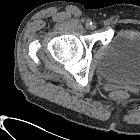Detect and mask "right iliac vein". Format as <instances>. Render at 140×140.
<instances>
[{
	"mask_svg": "<svg viewBox=\"0 0 140 140\" xmlns=\"http://www.w3.org/2000/svg\"><path fill=\"white\" fill-rule=\"evenodd\" d=\"M88 27H89V29L94 30L96 28V24L95 23H92Z\"/></svg>",
	"mask_w": 140,
	"mask_h": 140,
	"instance_id": "obj_1",
	"label": "right iliac vein"
}]
</instances>
